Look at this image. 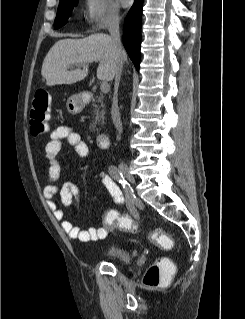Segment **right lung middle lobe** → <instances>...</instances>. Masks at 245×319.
I'll return each mask as SVG.
<instances>
[{
	"instance_id": "obj_1",
	"label": "right lung middle lobe",
	"mask_w": 245,
	"mask_h": 319,
	"mask_svg": "<svg viewBox=\"0 0 245 319\" xmlns=\"http://www.w3.org/2000/svg\"><path fill=\"white\" fill-rule=\"evenodd\" d=\"M78 3V0H60V4L57 11V16L54 23V28L58 29L67 23L74 6Z\"/></svg>"
}]
</instances>
